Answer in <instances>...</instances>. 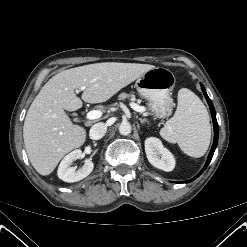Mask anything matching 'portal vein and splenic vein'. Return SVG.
<instances>
[{
	"instance_id": "obj_1",
	"label": "portal vein and splenic vein",
	"mask_w": 247,
	"mask_h": 247,
	"mask_svg": "<svg viewBox=\"0 0 247 247\" xmlns=\"http://www.w3.org/2000/svg\"><path fill=\"white\" fill-rule=\"evenodd\" d=\"M84 88H81V90H83ZM130 106L133 110L137 111V112H143L144 111V108L137 105L136 103H130ZM102 116V112L100 110H92V111H89L87 114H86V118L88 120H95V119H98Z\"/></svg>"
}]
</instances>
